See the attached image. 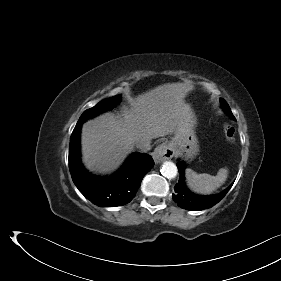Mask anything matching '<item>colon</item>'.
<instances>
[{
    "instance_id": "colon-1",
    "label": "colon",
    "mask_w": 281,
    "mask_h": 281,
    "mask_svg": "<svg viewBox=\"0 0 281 281\" xmlns=\"http://www.w3.org/2000/svg\"><path fill=\"white\" fill-rule=\"evenodd\" d=\"M224 133H225V138L228 142H233L234 141V129L230 125H225L224 126Z\"/></svg>"
}]
</instances>
